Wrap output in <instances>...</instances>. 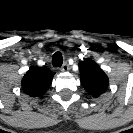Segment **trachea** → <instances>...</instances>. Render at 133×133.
Here are the masks:
<instances>
[{
  "label": "trachea",
  "instance_id": "3493384b",
  "mask_svg": "<svg viewBox=\"0 0 133 133\" xmlns=\"http://www.w3.org/2000/svg\"><path fill=\"white\" fill-rule=\"evenodd\" d=\"M63 63V58L61 53L56 52L53 56H52V64L54 67H60Z\"/></svg>",
  "mask_w": 133,
  "mask_h": 133
}]
</instances>
